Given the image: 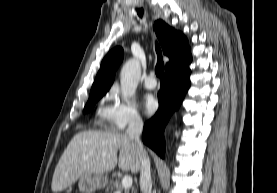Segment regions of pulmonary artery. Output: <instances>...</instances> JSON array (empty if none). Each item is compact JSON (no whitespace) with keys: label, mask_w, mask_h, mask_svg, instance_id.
Listing matches in <instances>:
<instances>
[{"label":"pulmonary artery","mask_w":277,"mask_h":193,"mask_svg":"<svg viewBox=\"0 0 277 193\" xmlns=\"http://www.w3.org/2000/svg\"><path fill=\"white\" fill-rule=\"evenodd\" d=\"M157 85V82H156V79H155V76L154 74H149L145 80H144V86L147 88V89H154Z\"/></svg>","instance_id":"pulmonary-artery-1"}]
</instances>
